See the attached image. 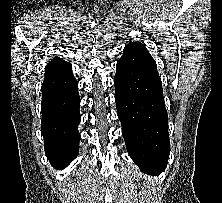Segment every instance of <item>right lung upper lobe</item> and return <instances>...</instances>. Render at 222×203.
Segmentation results:
<instances>
[{
  "instance_id": "right-lung-upper-lobe-1",
  "label": "right lung upper lobe",
  "mask_w": 222,
  "mask_h": 203,
  "mask_svg": "<svg viewBox=\"0 0 222 203\" xmlns=\"http://www.w3.org/2000/svg\"><path fill=\"white\" fill-rule=\"evenodd\" d=\"M54 59H59L58 57H55Z\"/></svg>"
}]
</instances>
